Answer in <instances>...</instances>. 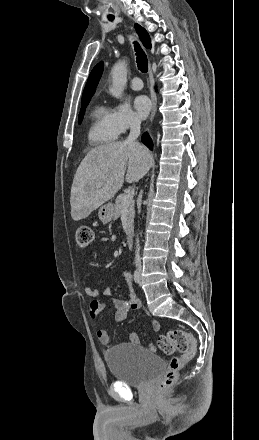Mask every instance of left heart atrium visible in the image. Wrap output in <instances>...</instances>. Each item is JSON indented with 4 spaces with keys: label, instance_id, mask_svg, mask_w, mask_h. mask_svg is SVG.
I'll list each match as a JSON object with an SVG mask.
<instances>
[{
    "label": "left heart atrium",
    "instance_id": "1",
    "mask_svg": "<svg viewBox=\"0 0 259 440\" xmlns=\"http://www.w3.org/2000/svg\"><path fill=\"white\" fill-rule=\"evenodd\" d=\"M134 106L141 118L148 115L151 110V102L145 95H139L134 99Z\"/></svg>",
    "mask_w": 259,
    "mask_h": 440
}]
</instances>
